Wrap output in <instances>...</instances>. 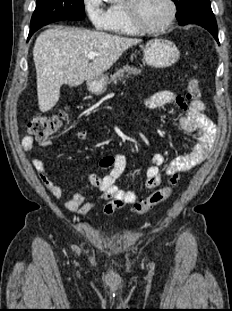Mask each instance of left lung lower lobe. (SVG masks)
Returning a JSON list of instances; mask_svg holds the SVG:
<instances>
[{"label":"left lung lower lobe","mask_w":232,"mask_h":311,"mask_svg":"<svg viewBox=\"0 0 232 311\" xmlns=\"http://www.w3.org/2000/svg\"><path fill=\"white\" fill-rule=\"evenodd\" d=\"M177 20L182 26L188 24H197L204 27L213 35L215 40L219 43L217 24L210 6V2L202 3L193 10L183 14L180 18H177Z\"/></svg>","instance_id":"obj_1"}]
</instances>
